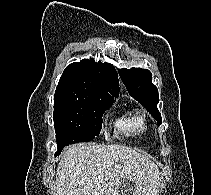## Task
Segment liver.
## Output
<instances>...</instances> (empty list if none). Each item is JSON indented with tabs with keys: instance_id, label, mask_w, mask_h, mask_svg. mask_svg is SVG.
<instances>
[{
	"instance_id": "6515ba94",
	"label": "liver",
	"mask_w": 211,
	"mask_h": 195,
	"mask_svg": "<svg viewBox=\"0 0 211 195\" xmlns=\"http://www.w3.org/2000/svg\"><path fill=\"white\" fill-rule=\"evenodd\" d=\"M124 182L132 183L137 195H159L162 185L158 166L136 150L120 144L80 143L61 155L55 195H119Z\"/></svg>"
}]
</instances>
